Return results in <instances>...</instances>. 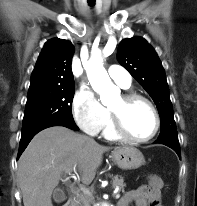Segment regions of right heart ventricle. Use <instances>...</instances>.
<instances>
[{"instance_id":"right-heart-ventricle-1","label":"right heart ventricle","mask_w":197,"mask_h":206,"mask_svg":"<svg viewBox=\"0 0 197 206\" xmlns=\"http://www.w3.org/2000/svg\"><path fill=\"white\" fill-rule=\"evenodd\" d=\"M102 133H103V136L109 140H115V139H118V137H119L113 129L109 113H108V117L106 119V122L102 128Z\"/></svg>"}]
</instances>
